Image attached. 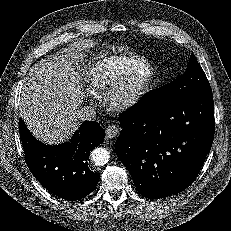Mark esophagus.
Returning a JSON list of instances; mask_svg holds the SVG:
<instances>
[{
	"label": "esophagus",
	"mask_w": 231,
	"mask_h": 231,
	"mask_svg": "<svg viewBox=\"0 0 231 231\" xmlns=\"http://www.w3.org/2000/svg\"><path fill=\"white\" fill-rule=\"evenodd\" d=\"M105 132L108 139H113L118 135L119 129L115 125H110L106 128Z\"/></svg>",
	"instance_id": "obj_1"
}]
</instances>
